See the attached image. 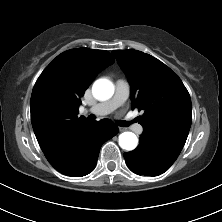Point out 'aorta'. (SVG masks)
<instances>
[{"label":"aorta","mask_w":222,"mask_h":222,"mask_svg":"<svg viewBox=\"0 0 222 222\" xmlns=\"http://www.w3.org/2000/svg\"><path fill=\"white\" fill-rule=\"evenodd\" d=\"M93 96L98 100H107L114 94V85L108 79H98L92 86ZM138 138L132 132H123L119 135V145L122 149L132 151L137 147Z\"/></svg>","instance_id":"1"}]
</instances>
